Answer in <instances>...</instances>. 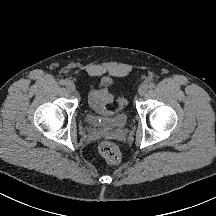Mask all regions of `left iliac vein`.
Masks as SVG:
<instances>
[{"label": "left iliac vein", "instance_id": "1", "mask_svg": "<svg viewBox=\"0 0 216 216\" xmlns=\"http://www.w3.org/2000/svg\"><path fill=\"white\" fill-rule=\"evenodd\" d=\"M148 89H149L148 85L144 84L140 86L138 92L141 96H143L147 93Z\"/></svg>", "mask_w": 216, "mask_h": 216}]
</instances>
